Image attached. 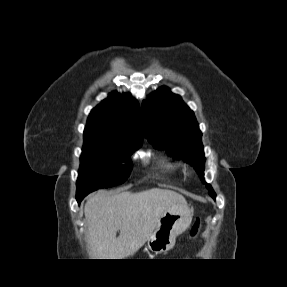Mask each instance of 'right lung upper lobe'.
Here are the masks:
<instances>
[{
  "mask_svg": "<svg viewBox=\"0 0 287 287\" xmlns=\"http://www.w3.org/2000/svg\"><path fill=\"white\" fill-rule=\"evenodd\" d=\"M130 100V101H129ZM139 105L125 95L110 94L90 113L84 138L100 141L141 143Z\"/></svg>",
  "mask_w": 287,
  "mask_h": 287,
  "instance_id": "obj_1",
  "label": "right lung upper lobe"
}]
</instances>
